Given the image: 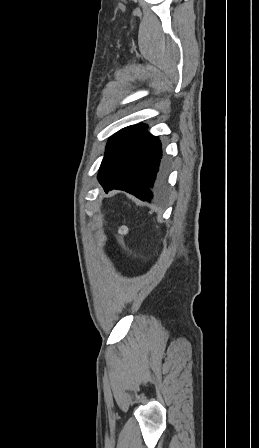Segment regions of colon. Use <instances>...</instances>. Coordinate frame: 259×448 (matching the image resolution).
<instances>
[{
    "instance_id": "obj_1",
    "label": "colon",
    "mask_w": 259,
    "mask_h": 448,
    "mask_svg": "<svg viewBox=\"0 0 259 448\" xmlns=\"http://www.w3.org/2000/svg\"><path fill=\"white\" fill-rule=\"evenodd\" d=\"M118 232H119V234H121V235H124L125 233H126V229H125V227H120L119 229H118Z\"/></svg>"
}]
</instances>
